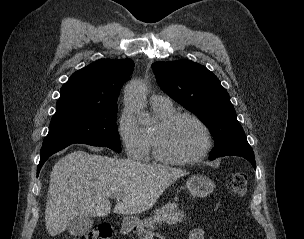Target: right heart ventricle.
Returning <instances> with one entry per match:
<instances>
[{"label":"right heart ventricle","mask_w":304,"mask_h":239,"mask_svg":"<svg viewBox=\"0 0 304 239\" xmlns=\"http://www.w3.org/2000/svg\"><path fill=\"white\" fill-rule=\"evenodd\" d=\"M151 106L154 114L157 117V123L154 127L144 130L149 144V151H152V153H154L153 142L156 129L164 119L176 112V109L171 102L151 103Z\"/></svg>","instance_id":"right-heart-ventricle-1"}]
</instances>
